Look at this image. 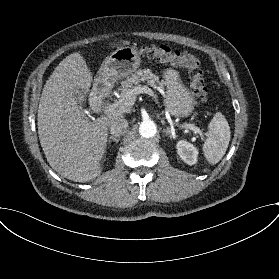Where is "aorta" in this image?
Instances as JSON below:
<instances>
[{"instance_id": "obj_1", "label": "aorta", "mask_w": 279, "mask_h": 279, "mask_svg": "<svg viewBox=\"0 0 279 279\" xmlns=\"http://www.w3.org/2000/svg\"><path fill=\"white\" fill-rule=\"evenodd\" d=\"M139 133L144 138L155 136L157 133L156 124L152 120H144L139 126Z\"/></svg>"}]
</instances>
